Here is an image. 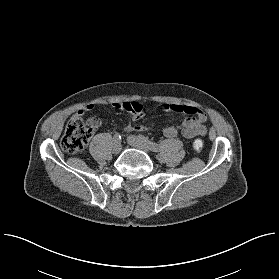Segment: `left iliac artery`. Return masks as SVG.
Segmentation results:
<instances>
[{"label": "left iliac artery", "instance_id": "left-iliac-artery-1", "mask_svg": "<svg viewBox=\"0 0 279 279\" xmlns=\"http://www.w3.org/2000/svg\"><path fill=\"white\" fill-rule=\"evenodd\" d=\"M139 137L149 146L150 150H152L154 152L159 151L160 146L157 143L149 141L144 136H139Z\"/></svg>", "mask_w": 279, "mask_h": 279}]
</instances>
